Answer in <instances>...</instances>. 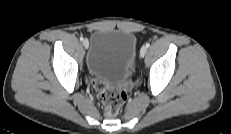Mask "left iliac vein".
<instances>
[{"mask_svg": "<svg viewBox=\"0 0 231 134\" xmlns=\"http://www.w3.org/2000/svg\"><path fill=\"white\" fill-rule=\"evenodd\" d=\"M146 52H147V47L142 46L141 49H140V57H144Z\"/></svg>", "mask_w": 231, "mask_h": 134, "instance_id": "obj_1", "label": "left iliac vein"}]
</instances>
